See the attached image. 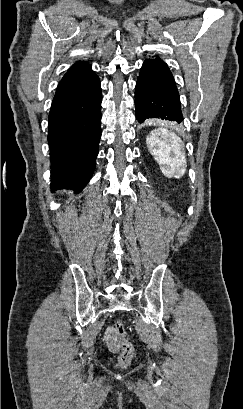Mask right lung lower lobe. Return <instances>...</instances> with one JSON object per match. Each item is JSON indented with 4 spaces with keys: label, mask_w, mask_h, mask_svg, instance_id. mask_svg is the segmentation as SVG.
<instances>
[{
    "label": "right lung lower lobe",
    "mask_w": 243,
    "mask_h": 409,
    "mask_svg": "<svg viewBox=\"0 0 243 409\" xmlns=\"http://www.w3.org/2000/svg\"><path fill=\"white\" fill-rule=\"evenodd\" d=\"M100 80L91 65L62 78L48 118L51 189L81 191L95 168L101 137Z\"/></svg>",
    "instance_id": "right-lung-lower-lobe-1"
}]
</instances>
